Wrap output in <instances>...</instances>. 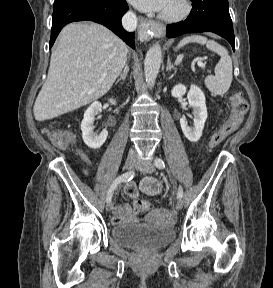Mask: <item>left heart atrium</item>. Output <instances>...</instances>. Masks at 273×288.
I'll return each mask as SVG.
<instances>
[{
	"instance_id": "39dd6f15",
	"label": "left heart atrium",
	"mask_w": 273,
	"mask_h": 288,
	"mask_svg": "<svg viewBox=\"0 0 273 288\" xmlns=\"http://www.w3.org/2000/svg\"><path fill=\"white\" fill-rule=\"evenodd\" d=\"M137 9L144 12L163 11L170 0H129Z\"/></svg>"
}]
</instances>
